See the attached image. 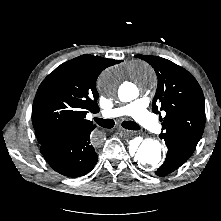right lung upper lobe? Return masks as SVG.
I'll return each mask as SVG.
<instances>
[{"label": "right lung upper lobe", "mask_w": 221, "mask_h": 221, "mask_svg": "<svg viewBox=\"0 0 221 221\" xmlns=\"http://www.w3.org/2000/svg\"><path fill=\"white\" fill-rule=\"evenodd\" d=\"M119 62L85 54L61 64L44 79L32 109V122L40 145L95 128L86 114L99 111L97 78L105 68Z\"/></svg>", "instance_id": "1"}]
</instances>
